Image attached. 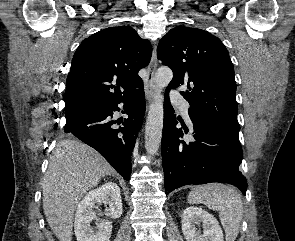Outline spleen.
Instances as JSON below:
<instances>
[{
	"instance_id": "obj_1",
	"label": "spleen",
	"mask_w": 295,
	"mask_h": 241,
	"mask_svg": "<svg viewBox=\"0 0 295 241\" xmlns=\"http://www.w3.org/2000/svg\"><path fill=\"white\" fill-rule=\"evenodd\" d=\"M190 204L202 203L219 211L227 241H235L243 217V203L239 193L232 187L211 183L193 188L188 195Z\"/></svg>"
}]
</instances>
